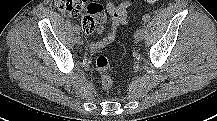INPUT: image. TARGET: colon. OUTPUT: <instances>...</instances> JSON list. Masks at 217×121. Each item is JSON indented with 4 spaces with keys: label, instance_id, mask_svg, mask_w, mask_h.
<instances>
[{
    "label": "colon",
    "instance_id": "colon-1",
    "mask_svg": "<svg viewBox=\"0 0 217 121\" xmlns=\"http://www.w3.org/2000/svg\"><path fill=\"white\" fill-rule=\"evenodd\" d=\"M150 4L157 3L160 0H145ZM56 8L62 13L70 16H77L82 11L85 12L82 20V30L87 34L101 31L106 21L104 7L99 3L88 2V0H55ZM95 66L100 74L101 85L104 89L109 90L113 85L110 75V63L105 56L96 58Z\"/></svg>",
    "mask_w": 217,
    "mask_h": 121
}]
</instances>
